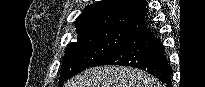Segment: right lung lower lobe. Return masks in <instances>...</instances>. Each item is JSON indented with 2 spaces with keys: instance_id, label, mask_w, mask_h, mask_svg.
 <instances>
[{
  "instance_id": "right-lung-lower-lobe-1",
  "label": "right lung lower lobe",
  "mask_w": 205,
  "mask_h": 87,
  "mask_svg": "<svg viewBox=\"0 0 205 87\" xmlns=\"http://www.w3.org/2000/svg\"><path fill=\"white\" fill-rule=\"evenodd\" d=\"M101 65H123L139 68L160 79L167 87L172 86V70L162 43L147 26L133 33L91 67Z\"/></svg>"
}]
</instances>
